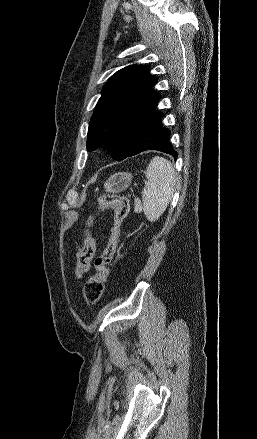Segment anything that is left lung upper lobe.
<instances>
[{"mask_svg": "<svg viewBox=\"0 0 257 439\" xmlns=\"http://www.w3.org/2000/svg\"><path fill=\"white\" fill-rule=\"evenodd\" d=\"M156 83L146 65H130L112 75L89 123L88 151L103 145L114 160L125 159L160 99L153 90Z\"/></svg>", "mask_w": 257, "mask_h": 439, "instance_id": "1", "label": "left lung upper lobe"}]
</instances>
